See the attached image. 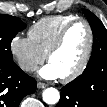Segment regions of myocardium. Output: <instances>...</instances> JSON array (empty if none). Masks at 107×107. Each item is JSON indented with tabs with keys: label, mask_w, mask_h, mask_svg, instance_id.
Segmentation results:
<instances>
[{
	"label": "myocardium",
	"mask_w": 107,
	"mask_h": 107,
	"mask_svg": "<svg viewBox=\"0 0 107 107\" xmlns=\"http://www.w3.org/2000/svg\"><path fill=\"white\" fill-rule=\"evenodd\" d=\"M79 23L85 25L87 32H88L87 48L79 66L72 73L61 77V80L64 83L72 82L76 80L78 77H80L84 73V71L86 70L90 62V59L93 53V48H94V32L90 23L83 18H76L72 20L71 22H69L68 24H66L63 27V29L60 31L55 42L53 43V45L51 46V48L49 49L46 55L47 60L50 61V58L52 57V55L56 53L62 47L69 30L74 25L79 24Z\"/></svg>",
	"instance_id": "f54148a6"
}]
</instances>
